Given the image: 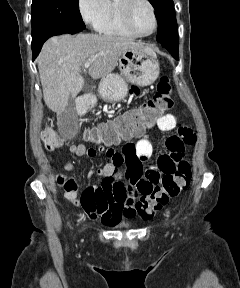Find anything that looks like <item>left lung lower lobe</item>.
Listing matches in <instances>:
<instances>
[{
  "mask_svg": "<svg viewBox=\"0 0 240 288\" xmlns=\"http://www.w3.org/2000/svg\"><path fill=\"white\" fill-rule=\"evenodd\" d=\"M175 59H178V46L179 44L161 43Z\"/></svg>",
  "mask_w": 240,
  "mask_h": 288,
  "instance_id": "left-lung-lower-lobe-1",
  "label": "left lung lower lobe"
}]
</instances>
